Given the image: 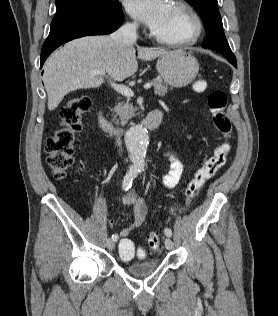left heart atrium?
Wrapping results in <instances>:
<instances>
[{
	"label": "left heart atrium",
	"instance_id": "1",
	"mask_svg": "<svg viewBox=\"0 0 278 316\" xmlns=\"http://www.w3.org/2000/svg\"><path fill=\"white\" fill-rule=\"evenodd\" d=\"M170 4L167 0H129L128 13L153 32L164 21Z\"/></svg>",
	"mask_w": 278,
	"mask_h": 316
}]
</instances>
